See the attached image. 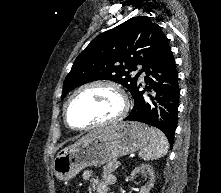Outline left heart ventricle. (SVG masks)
I'll return each instance as SVG.
<instances>
[{
	"label": "left heart ventricle",
	"instance_id": "b2bd125f",
	"mask_svg": "<svg viewBox=\"0 0 221 193\" xmlns=\"http://www.w3.org/2000/svg\"><path fill=\"white\" fill-rule=\"evenodd\" d=\"M120 106L115 91L108 87H92L73 99L68 108V119L76 127H85L112 118Z\"/></svg>",
	"mask_w": 221,
	"mask_h": 193
}]
</instances>
